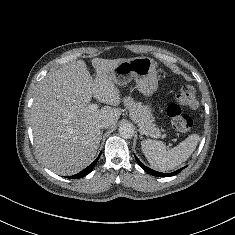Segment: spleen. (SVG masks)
Listing matches in <instances>:
<instances>
[{"label": "spleen", "instance_id": "obj_1", "mask_svg": "<svg viewBox=\"0 0 235 235\" xmlns=\"http://www.w3.org/2000/svg\"><path fill=\"white\" fill-rule=\"evenodd\" d=\"M199 139V135L191 134L179 145L168 150L164 142L147 139L141 142V148L153 169L166 172L185 162L196 149Z\"/></svg>", "mask_w": 235, "mask_h": 235}]
</instances>
